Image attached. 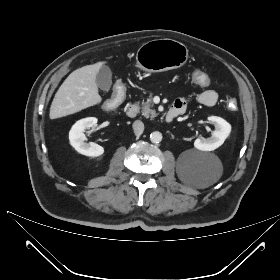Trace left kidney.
Masks as SVG:
<instances>
[{"instance_id": "5707ae66", "label": "left kidney", "mask_w": 280, "mask_h": 280, "mask_svg": "<svg viewBox=\"0 0 280 280\" xmlns=\"http://www.w3.org/2000/svg\"><path fill=\"white\" fill-rule=\"evenodd\" d=\"M209 122L213 123L215 130L212 136L205 138H197L194 142V147L201 151H213L220 147L231 132V125L221 117L210 116Z\"/></svg>"}]
</instances>
